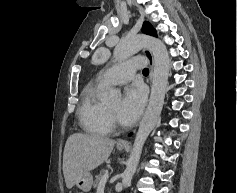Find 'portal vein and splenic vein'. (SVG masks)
Wrapping results in <instances>:
<instances>
[{"label":"portal vein and splenic vein","mask_w":237,"mask_h":193,"mask_svg":"<svg viewBox=\"0 0 237 193\" xmlns=\"http://www.w3.org/2000/svg\"><path fill=\"white\" fill-rule=\"evenodd\" d=\"M108 178H109V174H108V171H106V173L101 178L100 183H104L105 184L107 182Z\"/></svg>","instance_id":"portal-vein-and-splenic-vein-1"}]
</instances>
